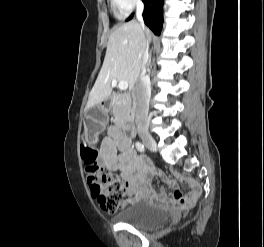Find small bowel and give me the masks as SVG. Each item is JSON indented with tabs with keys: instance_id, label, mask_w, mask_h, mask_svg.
<instances>
[{
	"instance_id": "small-bowel-1",
	"label": "small bowel",
	"mask_w": 264,
	"mask_h": 247,
	"mask_svg": "<svg viewBox=\"0 0 264 247\" xmlns=\"http://www.w3.org/2000/svg\"><path fill=\"white\" fill-rule=\"evenodd\" d=\"M99 161L103 168L121 172L128 191L135 196V199L148 197L163 204L174 205L178 201L187 200L196 195L198 198L200 193V185L196 180L179 176L187 186V191L184 192L160 171H156L147 158L134 151L130 138L118 126L109 127L107 137L99 148ZM154 176L168 184L173 190L172 193L165 189L160 194L153 191L149 181Z\"/></svg>"
}]
</instances>
